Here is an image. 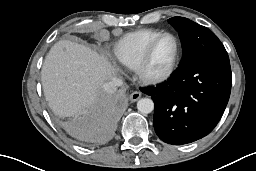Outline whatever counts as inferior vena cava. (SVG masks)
Masks as SVG:
<instances>
[{
  "label": "inferior vena cava",
  "instance_id": "obj_1",
  "mask_svg": "<svg viewBox=\"0 0 256 171\" xmlns=\"http://www.w3.org/2000/svg\"><path fill=\"white\" fill-rule=\"evenodd\" d=\"M122 85V80L120 79H113L110 82H107L103 85V89L108 93V94H113L116 92L117 87Z\"/></svg>",
  "mask_w": 256,
  "mask_h": 171
}]
</instances>
